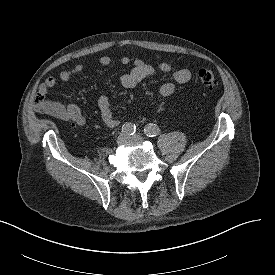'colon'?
Returning a JSON list of instances; mask_svg holds the SVG:
<instances>
[{
    "instance_id": "colon-1",
    "label": "colon",
    "mask_w": 275,
    "mask_h": 275,
    "mask_svg": "<svg viewBox=\"0 0 275 275\" xmlns=\"http://www.w3.org/2000/svg\"><path fill=\"white\" fill-rule=\"evenodd\" d=\"M197 77L199 78L202 85L207 88H214L217 85V75L211 68H201L197 71ZM35 106L41 113L47 112L48 104L45 100V96L38 93L35 98Z\"/></svg>"
}]
</instances>
